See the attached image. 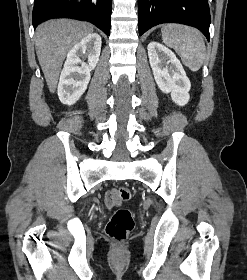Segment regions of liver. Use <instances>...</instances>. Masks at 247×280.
Wrapping results in <instances>:
<instances>
[{"instance_id": "6515ba94", "label": "liver", "mask_w": 247, "mask_h": 280, "mask_svg": "<svg viewBox=\"0 0 247 280\" xmlns=\"http://www.w3.org/2000/svg\"><path fill=\"white\" fill-rule=\"evenodd\" d=\"M92 32L93 27L89 23L71 19L50 20L37 27L36 53L51 93L56 90L60 70L68 52Z\"/></svg>"}]
</instances>
